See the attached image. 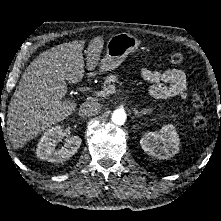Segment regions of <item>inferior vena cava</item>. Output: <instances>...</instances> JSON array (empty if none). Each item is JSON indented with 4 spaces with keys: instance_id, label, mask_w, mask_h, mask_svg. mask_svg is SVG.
<instances>
[{
    "instance_id": "1",
    "label": "inferior vena cava",
    "mask_w": 221,
    "mask_h": 221,
    "mask_svg": "<svg viewBox=\"0 0 221 221\" xmlns=\"http://www.w3.org/2000/svg\"><path fill=\"white\" fill-rule=\"evenodd\" d=\"M100 104L95 101L84 102L79 108V115L81 117H90L100 111Z\"/></svg>"
}]
</instances>
